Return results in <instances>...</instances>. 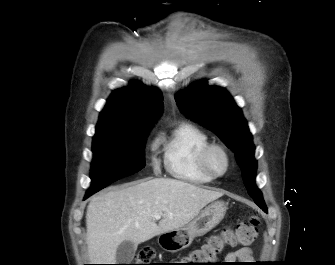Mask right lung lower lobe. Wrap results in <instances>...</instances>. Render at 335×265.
Wrapping results in <instances>:
<instances>
[{
	"instance_id": "right-lung-lower-lobe-1",
	"label": "right lung lower lobe",
	"mask_w": 335,
	"mask_h": 265,
	"mask_svg": "<svg viewBox=\"0 0 335 265\" xmlns=\"http://www.w3.org/2000/svg\"><path fill=\"white\" fill-rule=\"evenodd\" d=\"M89 196H90L89 194H86L85 197H84V200H85L86 198H88Z\"/></svg>"
}]
</instances>
